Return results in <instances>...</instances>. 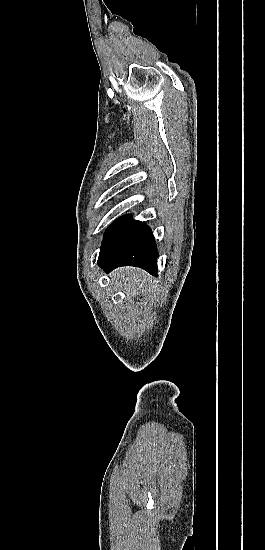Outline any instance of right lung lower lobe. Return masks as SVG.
<instances>
[{"mask_svg":"<svg viewBox=\"0 0 265 550\" xmlns=\"http://www.w3.org/2000/svg\"><path fill=\"white\" fill-rule=\"evenodd\" d=\"M157 258L151 229L139 222L112 251L99 254L98 265L107 272L119 266H137L157 276Z\"/></svg>","mask_w":265,"mask_h":550,"instance_id":"98d812e1","label":"right lung lower lobe"}]
</instances>
